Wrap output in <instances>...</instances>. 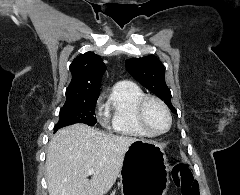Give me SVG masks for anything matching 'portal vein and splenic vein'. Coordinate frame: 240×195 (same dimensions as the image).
Masks as SVG:
<instances>
[{
  "mask_svg": "<svg viewBox=\"0 0 240 195\" xmlns=\"http://www.w3.org/2000/svg\"><path fill=\"white\" fill-rule=\"evenodd\" d=\"M92 173H94V167H90V169H88V175H92Z\"/></svg>",
  "mask_w": 240,
  "mask_h": 195,
  "instance_id": "18ae733b",
  "label": "portal vein and splenic vein"
}]
</instances>
